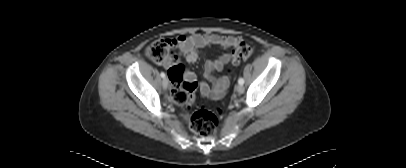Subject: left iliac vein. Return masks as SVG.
I'll return each mask as SVG.
<instances>
[{
	"label": "left iliac vein",
	"mask_w": 406,
	"mask_h": 168,
	"mask_svg": "<svg viewBox=\"0 0 406 168\" xmlns=\"http://www.w3.org/2000/svg\"><path fill=\"white\" fill-rule=\"evenodd\" d=\"M236 90H237V92H238L239 94H242V93L244 92V87H243V85H241V84L237 85Z\"/></svg>",
	"instance_id": "1"
}]
</instances>
